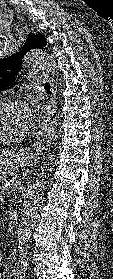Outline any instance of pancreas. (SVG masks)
I'll return each mask as SVG.
<instances>
[{
    "label": "pancreas",
    "instance_id": "1",
    "mask_svg": "<svg viewBox=\"0 0 113 279\" xmlns=\"http://www.w3.org/2000/svg\"><path fill=\"white\" fill-rule=\"evenodd\" d=\"M18 179H20V174H17L11 180L6 181V183H9L10 185L9 186L4 185L1 187V192L3 197H6L10 194L12 190V186L18 182Z\"/></svg>",
    "mask_w": 113,
    "mask_h": 279
}]
</instances>
